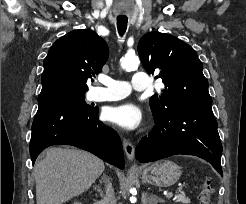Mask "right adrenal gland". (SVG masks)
<instances>
[{"label": "right adrenal gland", "instance_id": "right-adrenal-gland-1", "mask_svg": "<svg viewBox=\"0 0 246 204\" xmlns=\"http://www.w3.org/2000/svg\"><path fill=\"white\" fill-rule=\"evenodd\" d=\"M103 180H107V176L105 175V174H103V176H102V180H100V184L102 183V181ZM94 189L99 193V195L101 196V197H103V190H102V188L100 187V185H95L94 186Z\"/></svg>", "mask_w": 246, "mask_h": 204}]
</instances>
